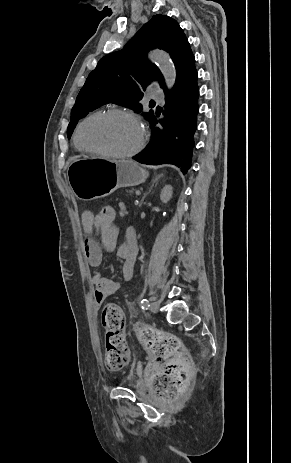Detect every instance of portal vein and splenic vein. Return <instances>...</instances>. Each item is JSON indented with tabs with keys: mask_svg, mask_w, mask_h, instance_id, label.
Returning <instances> with one entry per match:
<instances>
[{
	"mask_svg": "<svg viewBox=\"0 0 291 463\" xmlns=\"http://www.w3.org/2000/svg\"><path fill=\"white\" fill-rule=\"evenodd\" d=\"M136 194H140V191H139V190H137V191H136Z\"/></svg>",
	"mask_w": 291,
	"mask_h": 463,
	"instance_id": "18ae733b",
	"label": "portal vein and splenic vein"
}]
</instances>
